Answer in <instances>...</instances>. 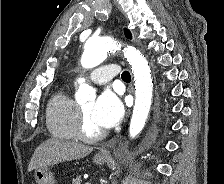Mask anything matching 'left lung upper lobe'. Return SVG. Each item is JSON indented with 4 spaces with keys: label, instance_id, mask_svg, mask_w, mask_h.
<instances>
[{
    "label": "left lung upper lobe",
    "instance_id": "1",
    "mask_svg": "<svg viewBox=\"0 0 224 184\" xmlns=\"http://www.w3.org/2000/svg\"><path fill=\"white\" fill-rule=\"evenodd\" d=\"M125 36L127 38H131V34H130V32L128 30H125Z\"/></svg>",
    "mask_w": 224,
    "mask_h": 184
}]
</instances>
